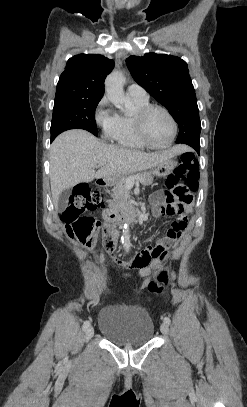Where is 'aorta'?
Here are the masks:
<instances>
[{
  "instance_id": "762f6f07",
  "label": "aorta",
  "mask_w": 247,
  "mask_h": 407,
  "mask_svg": "<svg viewBox=\"0 0 247 407\" xmlns=\"http://www.w3.org/2000/svg\"><path fill=\"white\" fill-rule=\"evenodd\" d=\"M124 82L125 77L120 71H113L106 78L105 91L108 99L115 105H121L128 102V98L125 96L123 89ZM121 241L125 251L128 252L131 247L129 223H125L123 226Z\"/></svg>"
}]
</instances>
